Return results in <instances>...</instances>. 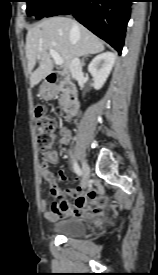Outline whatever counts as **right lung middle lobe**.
Segmentation results:
<instances>
[{
	"label": "right lung middle lobe",
	"instance_id": "obj_1",
	"mask_svg": "<svg viewBox=\"0 0 158 275\" xmlns=\"http://www.w3.org/2000/svg\"><path fill=\"white\" fill-rule=\"evenodd\" d=\"M63 0H26L28 16L35 15L37 19L44 17L51 9Z\"/></svg>",
	"mask_w": 158,
	"mask_h": 275
}]
</instances>
